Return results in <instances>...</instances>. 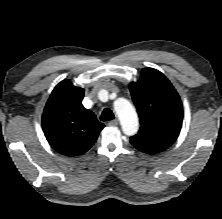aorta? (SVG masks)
<instances>
[{
    "mask_svg": "<svg viewBox=\"0 0 222 219\" xmlns=\"http://www.w3.org/2000/svg\"><path fill=\"white\" fill-rule=\"evenodd\" d=\"M114 110L118 115L124 134L127 136L135 135L139 128V122L132 104L125 98H118L114 102Z\"/></svg>",
    "mask_w": 222,
    "mask_h": 219,
    "instance_id": "aorta-1",
    "label": "aorta"
}]
</instances>
